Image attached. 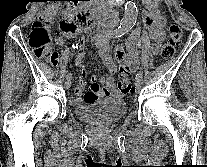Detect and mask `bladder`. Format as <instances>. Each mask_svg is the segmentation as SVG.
Segmentation results:
<instances>
[{
  "instance_id": "bladder-1",
  "label": "bladder",
  "mask_w": 207,
  "mask_h": 167,
  "mask_svg": "<svg viewBox=\"0 0 207 167\" xmlns=\"http://www.w3.org/2000/svg\"><path fill=\"white\" fill-rule=\"evenodd\" d=\"M126 111V103L119 96H107L96 101L83 102L75 107L78 119L96 125L117 122Z\"/></svg>"
}]
</instances>
